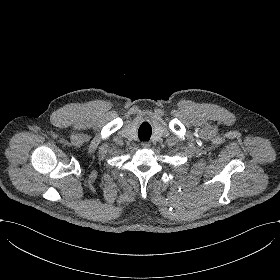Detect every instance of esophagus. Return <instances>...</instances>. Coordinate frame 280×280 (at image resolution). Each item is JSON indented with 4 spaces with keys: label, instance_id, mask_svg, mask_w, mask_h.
<instances>
[{
    "label": "esophagus",
    "instance_id": "34e87169",
    "mask_svg": "<svg viewBox=\"0 0 280 280\" xmlns=\"http://www.w3.org/2000/svg\"><path fill=\"white\" fill-rule=\"evenodd\" d=\"M141 146H142L144 149H149V148H151V143L148 142V141H143V142L141 143Z\"/></svg>",
    "mask_w": 280,
    "mask_h": 280
}]
</instances>
